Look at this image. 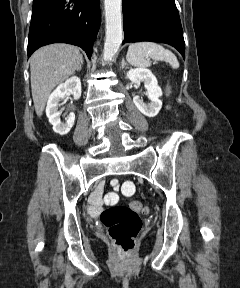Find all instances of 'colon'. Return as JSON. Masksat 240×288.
Returning a JSON list of instances; mask_svg holds the SVG:
<instances>
[{
	"mask_svg": "<svg viewBox=\"0 0 240 288\" xmlns=\"http://www.w3.org/2000/svg\"><path fill=\"white\" fill-rule=\"evenodd\" d=\"M124 190L132 192L133 185L125 184ZM147 208L139 201H131L128 205H117L105 209L100 214V221L107 229V233L115 247L128 254L136 244L137 236L142 227L141 214Z\"/></svg>",
	"mask_w": 240,
	"mask_h": 288,
	"instance_id": "obj_1",
	"label": "colon"
}]
</instances>
